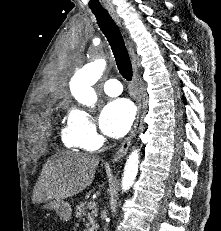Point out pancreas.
I'll list each match as a JSON object with an SVG mask.
<instances>
[{"mask_svg":"<svg viewBox=\"0 0 221 231\" xmlns=\"http://www.w3.org/2000/svg\"><path fill=\"white\" fill-rule=\"evenodd\" d=\"M75 216L79 220L83 221H85L83 216H87L88 223H86L87 229L85 231H97L98 224L95 220V217L97 216V210L95 207L89 208V204L87 202H80V204L76 206Z\"/></svg>","mask_w":221,"mask_h":231,"instance_id":"1","label":"pancreas"}]
</instances>
